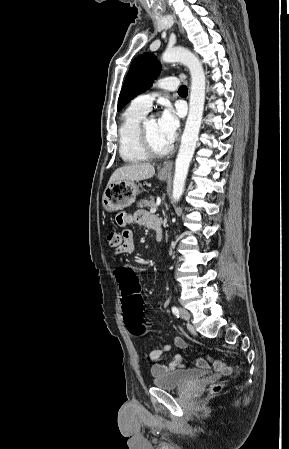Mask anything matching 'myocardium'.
<instances>
[{
  "instance_id": "myocardium-1",
  "label": "myocardium",
  "mask_w": 289,
  "mask_h": 449,
  "mask_svg": "<svg viewBox=\"0 0 289 449\" xmlns=\"http://www.w3.org/2000/svg\"><path fill=\"white\" fill-rule=\"evenodd\" d=\"M152 117H145L140 125V144L143 152L149 158H164L173 152L174 146L171 144L165 151H156L150 141L148 132V122Z\"/></svg>"
}]
</instances>
